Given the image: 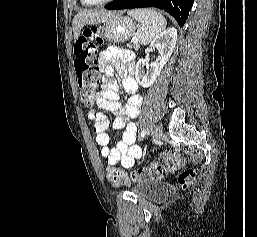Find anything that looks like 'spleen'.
<instances>
[{
    "mask_svg": "<svg viewBox=\"0 0 257 237\" xmlns=\"http://www.w3.org/2000/svg\"><path fill=\"white\" fill-rule=\"evenodd\" d=\"M127 14L141 23L137 37L143 45L152 42L166 28V19L153 9H134L129 10Z\"/></svg>",
    "mask_w": 257,
    "mask_h": 237,
    "instance_id": "obj_1",
    "label": "spleen"
}]
</instances>
